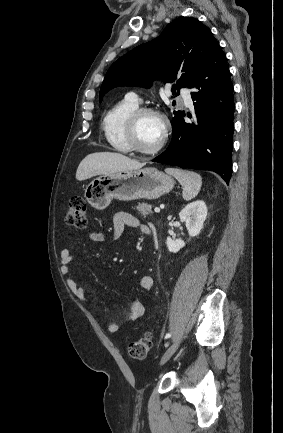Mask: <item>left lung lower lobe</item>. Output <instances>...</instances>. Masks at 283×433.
<instances>
[{
    "mask_svg": "<svg viewBox=\"0 0 283 433\" xmlns=\"http://www.w3.org/2000/svg\"><path fill=\"white\" fill-rule=\"evenodd\" d=\"M195 116L191 123L185 114L173 119L172 140L153 162L214 171L229 184L232 175L233 85L225 53L215 43L200 62L187 84ZM191 118V114H187Z\"/></svg>",
    "mask_w": 283,
    "mask_h": 433,
    "instance_id": "1",
    "label": "left lung lower lobe"
}]
</instances>
